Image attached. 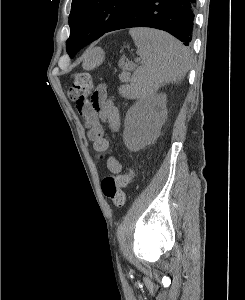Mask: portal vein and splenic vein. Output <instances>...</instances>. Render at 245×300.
<instances>
[{
	"label": "portal vein and splenic vein",
	"instance_id": "obj_1",
	"mask_svg": "<svg viewBox=\"0 0 245 300\" xmlns=\"http://www.w3.org/2000/svg\"><path fill=\"white\" fill-rule=\"evenodd\" d=\"M129 64H130L131 68L133 69L134 67L132 66V64L131 63H129Z\"/></svg>",
	"mask_w": 245,
	"mask_h": 300
}]
</instances>
